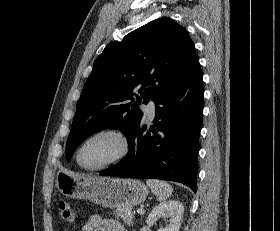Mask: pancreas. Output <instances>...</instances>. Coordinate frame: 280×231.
Listing matches in <instances>:
<instances>
[{
    "instance_id": "cf45deb5",
    "label": "pancreas",
    "mask_w": 280,
    "mask_h": 231,
    "mask_svg": "<svg viewBox=\"0 0 280 231\" xmlns=\"http://www.w3.org/2000/svg\"><path fill=\"white\" fill-rule=\"evenodd\" d=\"M114 213L123 217L127 225H133V213L131 207H117V209H114Z\"/></svg>"
}]
</instances>
